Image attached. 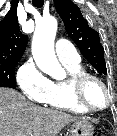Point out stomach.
Returning a JSON list of instances; mask_svg holds the SVG:
<instances>
[{
    "instance_id": "obj_1",
    "label": "stomach",
    "mask_w": 117,
    "mask_h": 136,
    "mask_svg": "<svg viewBox=\"0 0 117 136\" xmlns=\"http://www.w3.org/2000/svg\"><path fill=\"white\" fill-rule=\"evenodd\" d=\"M71 136H93V125L87 120L73 122L70 129Z\"/></svg>"
}]
</instances>
